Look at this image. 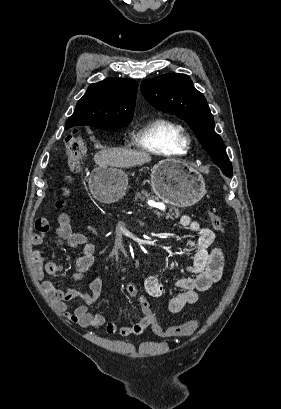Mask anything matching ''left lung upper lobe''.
I'll return each mask as SVG.
<instances>
[{"mask_svg": "<svg viewBox=\"0 0 281 409\" xmlns=\"http://www.w3.org/2000/svg\"><path fill=\"white\" fill-rule=\"evenodd\" d=\"M141 91L156 109L178 116L193 129L203 148L222 172L232 177V165L221 137L214 131V119L203 94L185 74H165L143 80Z\"/></svg>", "mask_w": 281, "mask_h": 409, "instance_id": "5c2ea615", "label": "left lung upper lobe"}]
</instances>
